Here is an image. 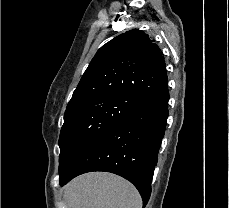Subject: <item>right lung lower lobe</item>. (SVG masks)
<instances>
[{
    "label": "right lung lower lobe",
    "mask_w": 229,
    "mask_h": 208,
    "mask_svg": "<svg viewBox=\"0 0 229 208\" xmlns=\"http://www.w3.org/2000/svg\"><path fill=\"white\" fill-rule=\"evenodd\" d=\"M168 100L167 88L95 139L60 176V185L86 172H111L135 185L145 207L169 115Z\"/></svg>",
    "instance_id": "obj_1"
}]
</instances>
